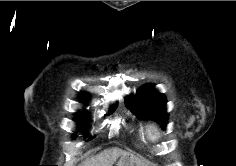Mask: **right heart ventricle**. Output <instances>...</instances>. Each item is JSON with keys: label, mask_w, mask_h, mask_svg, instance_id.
Masks as SVG:
<instances>
[{"label": "right heart ventricle", "mask_w": 236, "mask_h": 166, "mask_svg": "<svg viewBox=\"0 0 236 166\" xmlns=\"http://www.w3.org/2000/svg\"><path fill=\"white\" fill-rule=\"evenodd\" d=\"M139 132H140V135L141 136H145V129L143 128V127H141L140 129H139Z\"/></svg>", "instance_id": "obj_1"}]
</instances>
